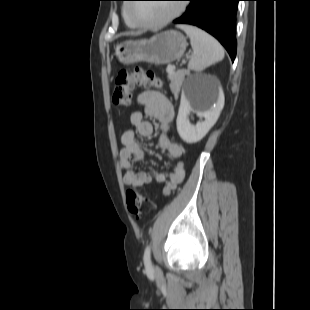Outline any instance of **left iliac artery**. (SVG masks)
Wrapping results in <instances>:
<instances>
[{
    "label": "left iliac artery",
    "mask_w": 310,
    "mask_h": 310,
    "mask_svg": "<svg viewBox=\"0 0 310 310\" xmlns=\"http://www.w3.org/2000/svg\"><path fill=\"white\" fill-rule=\"evenodd\" d=\"M143 259H144V265H145L146 271H148V272L152 271L153 267H152V263H151L150 246L146 247Z\"/></svg>",
    "instance_id": "44dca946"
}]
</instances>
